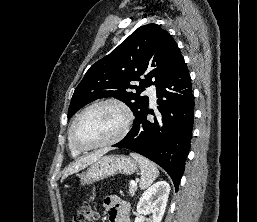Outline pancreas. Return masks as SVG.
I'll return each instance as SVG.
<instances>
[{"mask_svg":"<svg viewBox=\"0 0 257 222\" xmlns=\"http://www.w3.org/2000/svg\"><path fill=\"white\" fill-rule=\"evenodd\" d=\"M137 190V186H129V192L133 196L135 194V191Z\"/></svg>","mask_w":257,"mask_h":222,"instance_id":"1","label":"pancreas"}]
</instances>
